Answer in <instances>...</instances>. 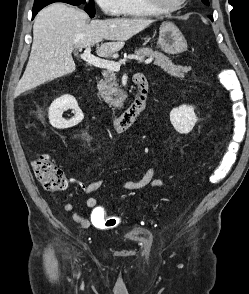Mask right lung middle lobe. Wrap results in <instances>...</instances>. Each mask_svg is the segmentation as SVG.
Listing matches in <instances>:
<instances>
[{
    "label": "right lung middle lobe",
    "instance_id": "right-lung-middle-lobe-1",
    "mask_svg": "<svg viewBox=\"0 0 249 294\" xmlns=\"http://www.w3.org/2000/svg\"><path fill=\"white\" fill-rule=\"evenodd\" d=\"M86 0H35L33 8H43L48 4L54 2H65L71 5H80L85 3ZM85 11L89 14L90 17H94L95 15V7L94 0H89L88 5L85 8Z\"/></svg>",
    "mask_w": 249,
    "mask_h": 294
}]
</instances>
